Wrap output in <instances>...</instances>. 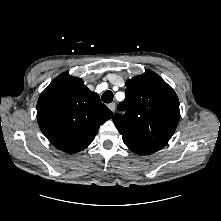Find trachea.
I'll return each mask as SVG.
<instances>
[{"instance_id": "trachea-1", "label": "trachea", "mask_w": 221, "mask_h": 221, "mask_svg": "<svg viewBox=\"0 0 221 221\" xmlns=\"http://www.w3.org/2000/svg\"><path fill=\"white\" fill-rule=\"evenodd\" d=\"M104 103H111L113 100V93L110 90L105 91L101 97Z\"/></svg>"}]
</instances>
